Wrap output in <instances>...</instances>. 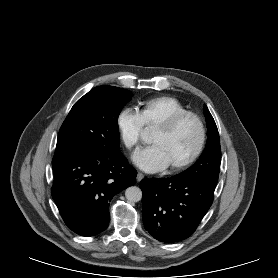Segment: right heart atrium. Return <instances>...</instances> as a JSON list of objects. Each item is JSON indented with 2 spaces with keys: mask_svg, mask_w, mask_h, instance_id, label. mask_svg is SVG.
<instances>
[{
  "mask_svg": "<svg viewBox=\"0 0 278 278\" xmlns=\"http://www.w3.org/2000/svg\"><path fill=\"white\" fill-rule=\"evenodd\" d=\"M116 126L125 147L127 149L137 147L144 129L139 112L132 108L122 109L117 115Z\"/></svg>",
  "mask_w": 278,
  "mask_h": 278,
  "instance_id": "d8ad5b80",
  "label": "right heart atrium"
}]
</instances>
